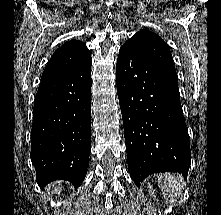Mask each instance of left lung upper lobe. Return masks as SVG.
Segmentation results:
<instances>
[{"instance_id": "5c2ea615", "label": "left lung upper lobe", "mask_w": 221, "mask_h": 215, "mask_svg": "<svg viewBox=\"0 0 221 215\" xmlns=\"http://www.w3.org/2000/svg\"><path fill=\"white\" fill-rule=\"evenodd\" d=\"M125 44L133 47L153 63L177 76L167 44L155 33L149 30H140Z\"/></svg>"}]
</instances>
